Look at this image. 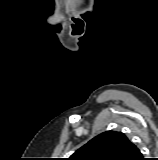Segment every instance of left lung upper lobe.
<instances>
[{
	"mask_svg": "<svg viewBox=\"0 0 158 160\" xmlns=\"http://www.w3.org/2000/svg\"><path fill=\"white\" fill-rule=\"evenodd\" d=\"M136 148L124 133L106 131L79 148L68 160H131Z\"/></svg>",
	"mask_w": 158,
	"mask_h": 160,
	"instance_id": "obj_1",
	"label": "left lung upper lobe"
}]
</instances>
